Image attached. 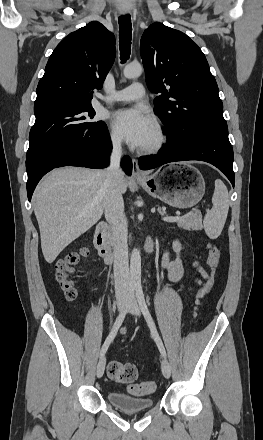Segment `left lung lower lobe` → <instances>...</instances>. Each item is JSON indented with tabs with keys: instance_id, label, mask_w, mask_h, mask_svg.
<instances>
[{
	"instance_id": "0a47b994",
	"label": "left lung lower lobe",
	"mask_w": 263,
	"mask_h": 440,
	"mask_svg": "<svg viewBox=\"0 0 263 440\" xmlns=\"http://www.w3.org/2000/svg\"><path fill=\"white\" fill-rule=\"evenodd\" d=\"M167 136L168 143L157 155L139 158L141 170L153 169L175 161H205L221 170L234 186L233 149L228 139L227 127L204 132L198 142L187 149L180 148L171 133H167Z\"/></svg>"
}]
</instances>
